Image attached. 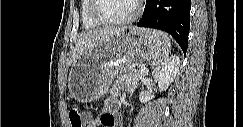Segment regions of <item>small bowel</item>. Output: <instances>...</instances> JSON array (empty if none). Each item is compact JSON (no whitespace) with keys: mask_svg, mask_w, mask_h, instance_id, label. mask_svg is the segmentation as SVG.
Masks as SVG:
<instances>
[{"mask_svg":"<svg viewBox=\"0 0 243 127\" xmlns=\"http://www.w3.org/2000/svg\"><path fill=\"white\" fill-rule=\"evenodd\" d=\"M120 102L115 96L109 97L103 107V112L99 117L93 118L87 115V127H118L121 125L120 117L117 115Z\"/></svg>","mask_w":243,"mask_h":127,"instance_id":"obj_1","label":"small bowel"}]
</instances>
